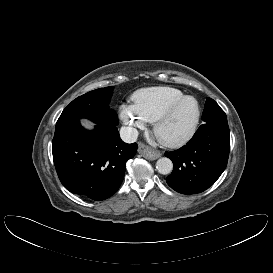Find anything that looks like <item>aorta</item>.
<instances>
[{
  "label": "aorta",
  "instance_id": "aorta-1",
  "mask_svg": "<svg viewBox=\"0 0 273 273\" xmlns=\"http://www.w3.org/2000/svg\"><path fill=\"white\" fill-rule=\"evenodd\" d=\"M156 169L160 174L167 175L172 172L173 163L167 157H162L156 162Z\"/></svg>",
  "mask_w": 273,
  "mask_h": 273
}]
</instances>
